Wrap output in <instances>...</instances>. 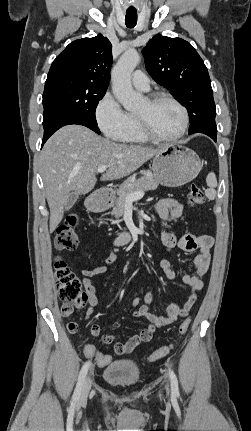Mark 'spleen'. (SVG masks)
Masks as SVG:
<instances>
[{
    "label": "spleen",
    "instance_id": "3e777b00",
    "mask_svg": "<svg viewBox=\"0 0 251 431\" xmlns=\"http://www.w3.org/2000/svg\"><path fill=\"white\" fill-rule=\"evenodd\" d=\"M206 183L209 188L206 190L205 194L210 200H213L216 197L215 187H217L216 175L213 172L207 175Z\"/></svg>",
    "mask_w": 251,
    "mask_h": 431
}]
</instances>
